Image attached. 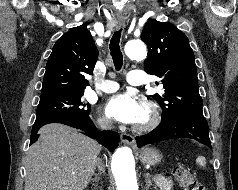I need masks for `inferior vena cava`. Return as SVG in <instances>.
Returning <instances> with one entry per match:
<instances>
[{"label":"inferior vena cava","instance_id":"inferior-vena-cava-1","mask_svg":"<svg viewBox=\"0 0 238 190\" xmlns=\"http://www.w3.org/2000/svg\"><path fill=\"white\" fill-rule=\"evenodd\" d=\"M98 124L99 126L102 128V129H112V122L108 119H100L98 121ZM98 168L99 170L101 171V162H100V159H98Z\"/></svg>","mask_w":238,"mask_h":190}]
</instances>
